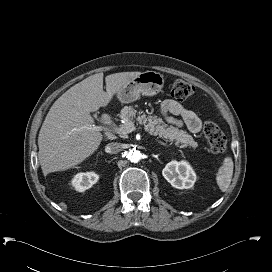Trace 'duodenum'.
Segmentation results:
<instances>
[{"mask_svg": "<svg viewBox=\"0 0 272 272\" xmlns=\"http://www.w3.org/2000/svg\"><path fill=\"white\" fill-rule=\"evenodd\" d=\"M106 138H107V139H112V138H113L112 132H108V133L106 134Z\"/></svg>", "mask_w": 272, "mask_h": 272, "instance_id": "410a0bca", "label": "duodenum"}]
</instances>
